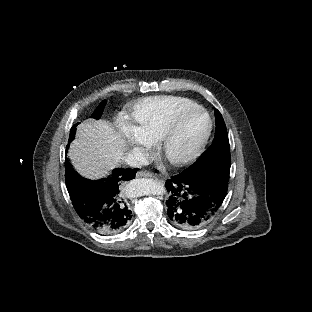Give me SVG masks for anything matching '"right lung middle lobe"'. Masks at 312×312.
Instances as JSON below:
<instances>
[{"instance_id":"right-lung-middle-lobe-1","label":"right lung middle lobe","mask_w":312,"mask_h":312,"mask_svg":"<svg viewBox=\"0 0 312 312\" xmlns=\"http://www.w3.org/2000/svg\"><path fill=\"white\" fill-rule=\"evenodd\" d=\"M106 105V100L102 101L99 106L96 108V110L94 111V113L92 114V118H95V119H100L102 113H103V110H104V107ZM79 123L75 124L72 126L71 130H70V136H69V140H68V145H67V148H69V143L73 141V139L75 138V133H76V126L78 125ZM67 152V151H66Z\"/></svg>"}]
</instances>
